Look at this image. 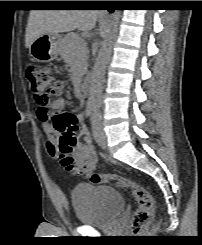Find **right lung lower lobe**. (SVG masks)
Returning <instances> with one entry per match:
<instances>
[{
    "label": "right lung lower lobe",
    "mask_w": 202,
    "mask_h": 245,
    "mask_svg": "<svg viewBox=\"0 0 202 245\" xmlns=\"http://www.w3.org/2000/svg\"><path fill=\"white\" fill-rule=\"evenodd\" d=\"M108 11L113 12V10H112V9H109Z\"/></svg>",
    "instance_id": "1"
}]
</instances>
